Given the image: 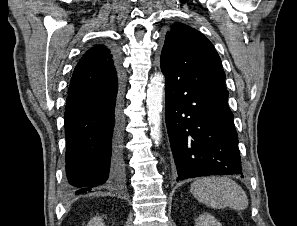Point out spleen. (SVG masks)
I'll use <instances>...</instances> for the list:
<instances>
[{
  "instance_id": "obj_1",
  "label": "spleen",
  "mask_w": 297,
  "mask_h": 226,
  "mask_svg": "<svg viewBox=\"0 0 297 226\" xmlns=\"http://www.w3.org/2000/svg\"><path fill=\"white\" fill-rule=\"evenodd\" d=\"M190 192L198 201L215 209L230 207L240 211L249 204L244 190L235 181L224 176L196 179L191 184Z\"/></svg>"
}]
</instances>
